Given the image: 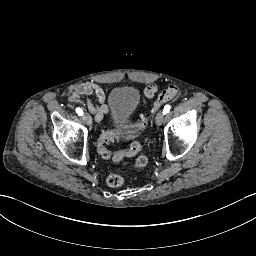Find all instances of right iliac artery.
<instances>
[{
  "label": "right iliac artery",
  "mask_w": 256,
  "mask_h": 256,
  "mask_svg": "<svg viewBox=\"0 0 256 256\" xmlns=\"http://www.w3.org/2000/svg\"><path fill=\"white\" fill-rule=\"evenodd\" d=\"M76 113L79 115V116H82L83 115V110L81 108H76Z\"/></svg>",
  "instance_id": "right-iliac-artery-1"
}]
</instances>
